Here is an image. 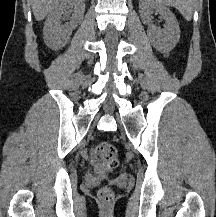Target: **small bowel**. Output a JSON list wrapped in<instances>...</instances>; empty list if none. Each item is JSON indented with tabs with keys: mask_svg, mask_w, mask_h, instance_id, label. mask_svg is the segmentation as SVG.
I'll return each instance as SVG.
<instances>
[{
	"mask_svg": "<svg viewBox=\"0 0 216 217\" xmlns=\"http://www.w3.org/2000/svg\"><path fill=\"white\" fill-rule=\"evenodd\" d=\"M91 166L98 173H103L105 171H108L106 167H104L100 162H98L94 158L91 160Z\"/></svg>",
	"mask_w": 216,
	"mask_h": 217,
	"instance_id": "1",
	"label": "small bowel"
}]
</instances>
